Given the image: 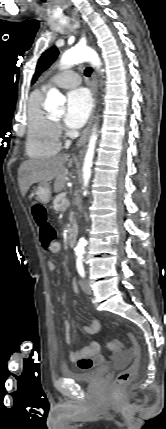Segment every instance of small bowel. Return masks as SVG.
<instances>
[{
	"label": "small bowel",
	"mask_w": 166,
	"mask_h": 429,
	"mask_svg": "<svg viewBox=\"0 0 166 429\" xmlns=\"http://www.w3.org/2000/svg\"><path fill=\"white\" fill-rule=\"evenodd\" d=\"M60 249H61L60 243L54 242L49 247L48 250L51 253L56 254L60 251ZM47 266L50 271L56 270V264L53 261H49ZM72 288L76 293L78 292V286L75 281H73L72 283ZM63 327H64V335H65L66 343L68 346H71V341H70L71 326L69 321L65 320L63 322ZM99 329H100V325H99V322L96 320L91 322H86L82 326V330L85 333L91 334V335L96 334L99 331ZM69 358L71 362L76 364L77 367L80 368L81 370H87V369H91L93 367L99 366L104 362V359H105L101 352V345L98 341H93L89 345L82 347L78 350L71 349L69 352Z\"/></svg>",
	"instance_id": "c3829d8e"
}]
</instances>
